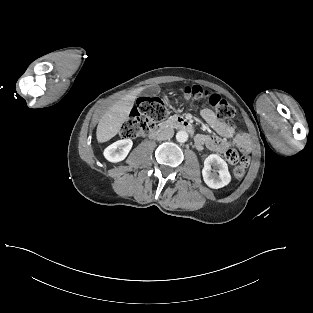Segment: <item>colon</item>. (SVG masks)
Wrapping results in <instances>:
<instances>
[{"label":"colon","mask_w":313,"mask_h":313,"mask_svg":"<svg viewBox=\"0 0 313 313\" xmlns=\"http://www.w3.org/2000/svg\"><path fill=\"white\" fill-rule=\"evenodd\" d=\"M186 99H208L209 104L215 109L219 119H230L234 116L233 106L217 94H209L201 86L194 85L183 90ZM168 108L159 98L142 97L136 102L130 113V118L121 126L119 135L123 139L136 138L152 132L166 119ZM227 160L234 165L233 173L237 178L244 175L248 158L239 156L235 151L226 155Z\"/></svg>","instance_id":"obj_1"}]
</instances>
